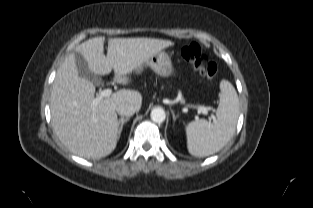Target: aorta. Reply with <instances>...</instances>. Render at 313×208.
I'll return each mask as SVG.
<instances>
[{"label": "aorta", "instance_id": "1", "mask_svg": "<svg viewBox=\"0 0 313 208\" xmlns=\"http://www.w3.org/2000/svg\"><path fill=\"white\" fill-rule=\"evenodd\" d=\"M151 119L153 122L155 123H162L164 122L165 118H166V114H165V111L162 109V108H154L152 111H151Z\"/></svg>", "mask_w": 313, "mask_h": 208}]
</instances>
